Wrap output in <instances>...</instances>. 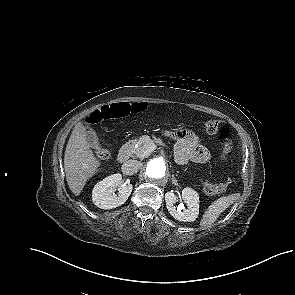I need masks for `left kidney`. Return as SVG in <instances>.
Instances as JSON below:
<instances>
[{
  "label": "left kidney",
  "mask_w": 295,
  "mask_h": 295,
  "mask_svg": "<svg viewBox=\"0 0 295 295\" xmlns=\"http://www.w3.org/2000/svg\"><path fill=\"white\" fill-rule=\"evenodd\" d=\"M182 200L186 203L187 207H184L182 203L175 206L178 202V197L173 191L165 194L166 207L170 215L178 221H195L199 214V195L197 191L189 187L184 188L182 191Z\"/></svg>",
  "instance_id": "5707ae66"
}]
</instances>
